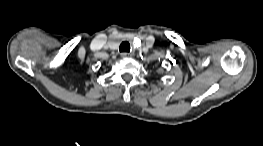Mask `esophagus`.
Masks as SVG:
<instances>
[{"mask_svg": "<svg viewBox=\"0 0 263 146\" xmlns=\"http://www.w3.org/2000/svg\"><path fill=\"white\" fill-rule=\"evenodd\" d=\"M130 55H131V54L128 53V52H122V53H121V57H122V58L129 57Z\"/></svg>", "mask_w": 263, "mask_h": 146, "instance_id": "obj_1", "label": "esophagus"}]
</instances>
